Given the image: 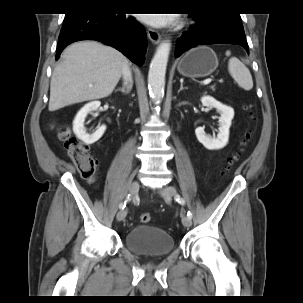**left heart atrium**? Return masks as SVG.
<instances>
[{"label":"left heart atrium","mask_w":303,"mask_h":303,"mask_svg":"<svg viewBox=\"0 0 303 303\" xmlns=\"http://www.w3.org/2000/svg\"><path fill=\"white\" fill-rule=\"evenodd\" d=\"M143 21L154 25V26H162L169 24L171 22L170 14H144L140 16Z\"/></svg>","instance_id":"obj_1"}]
</instances>
